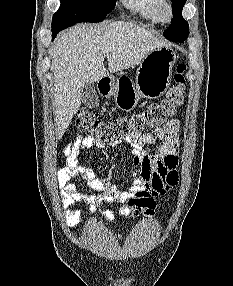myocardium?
I'll return each mask as SVG.
<instances>
[{
    "instance_id": "myocardium-1",
    "label": "myocardium",
    "mask_w": 233,
    "mask_h": 286,
    "mask_svg": "<svg viewBox=\"0 0 233 286\" xmlns=\"http://www.w3.org/2000/svg\"><path fill=\"white\" fill-rule=\"evenodd\" d=\"M157 14L161 22L170 23L174 18V10L170 0H158Z\"/></svg>"
}]
</instances>
